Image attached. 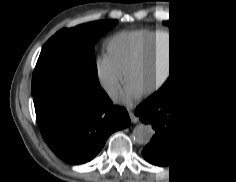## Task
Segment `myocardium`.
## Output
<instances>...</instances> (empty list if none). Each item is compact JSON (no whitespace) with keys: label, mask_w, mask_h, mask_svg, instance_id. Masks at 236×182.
<instances>
[{"label":"myocardium","mask_w":236,"mask_h":182,"mask_svg":"<svg viewBox=\"0 0 236 182\" xmlns=\"http://www.w3.org/2000/svg\"><path fill=\"white\" fill-rule=\"evenodd\" d=\"M138 61H136L133 65H128L127 68L125 69L126 70V77L128 80H130V75H131V69L132 67L137 63ZM170 67H171V61H170V64L168 65V68H167V71L163 77V79L161 80V82L166 78V76L168 75L169 73V70H170Z\"/></svg>","instance_id":"obj_1"}]
</instances>
